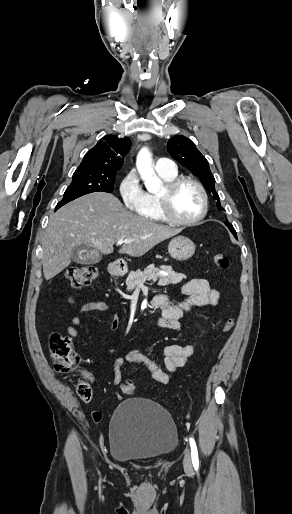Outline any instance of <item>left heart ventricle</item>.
<instances>
[{
	"instance_id": "b2bd125f",
	"label": "left heart ventricle",
	"mask_w": 292,
	"mask_h": 514,
	"mask_svg": "<svg viewBox=\"0 0 292 514\" xmlns=\"http://www.w3.org/2000/svg\"><path fill=\"white\" fill-rule=\"evenodd\" d=\"M163 188L157 193L160 194ZM201 200L197 189L192 185L177 188L170 196L172 213L181 220H190L200 211Z\"/></svg>"
}]
</instances>
